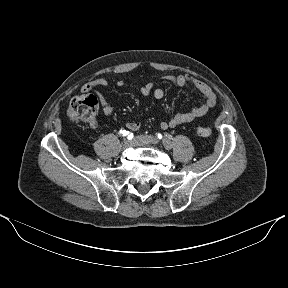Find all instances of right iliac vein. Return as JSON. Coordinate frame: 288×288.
I'll list each match as a JSON object with an SVG mask.
<instances>
[{
	"mask_svg": "<svg viewBox=\"0 0 288 288\" xmlns=\"http://www.w3.org/2000/svg\"><path fill=\"white\" fill-rule=\"evenodd\" d=\"M132 145V141H124L123 142V148L131 146Z\"/></svg>",
	"mask_w": 288,
	"mask_h": 288,
	"instance_id": "63e3f726",
	"label": "right iliac vein"
}]
</instances>
